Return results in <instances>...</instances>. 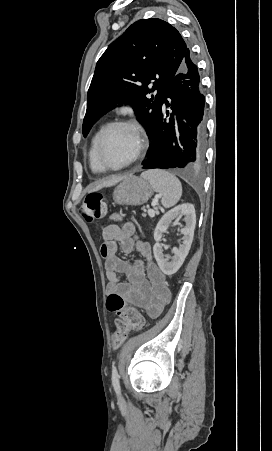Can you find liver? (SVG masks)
<instances>
[{"label": "liver", "instance_id": "6515ba94", "mask_svg": "<svg viewBox=\"0 0 272 451\" xmlns=\"http://www.w3.org/2000/svg\"><path fill=\"white\" fill-rule=\"evenodd\" d=\"M125 176H114V178H111V180H107V182H102V184H99V186H96V190H100V188H108V186H115V184H118L120 180H124Z\"/></svg>", "mask_w": 272, "mask_h": 451}]
</instances>
